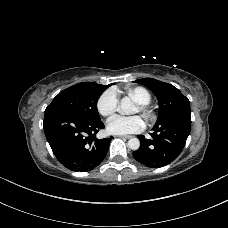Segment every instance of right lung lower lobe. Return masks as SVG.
<instances>
[{
    "mask_svg": "<svg viewBox=\"0 0 228 228\" xmlns=\"http://www.w3.org/2000/svg\"><path fill=\"white\" fill-rule=\"evenodd\" d=\"M43 126L57 160L79 172L97 167L113 138H96L98 131L104 128L100 119L87 120L59 108L45 110Z\"/></svg>",
    "mask_w": 228,
    "mask_h": 228,
    "instance_id": "right-lung-lower-lobe-1",
    "label": "right lung lower lobe"
}]
</instances>
